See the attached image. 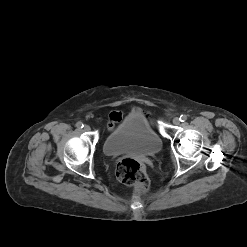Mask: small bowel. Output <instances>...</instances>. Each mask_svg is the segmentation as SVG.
<instances>
[{
    "mask_svg": "<svg viewBox=\"0 0 247 247\" xmlns=\"http://www.w3.org/2000/svg\"><path fill=\"white\" fill-rule=\"evenodd\" d=\"M122 117L120 112H112L109 116V128L112 129L114 123L118 122Z\"/></svg>",
    "mask_w": 247,
    "mask_h": 247,
    "instance_id": "c3829d8e",
    "label": "small bowel"
}]
</instances>
